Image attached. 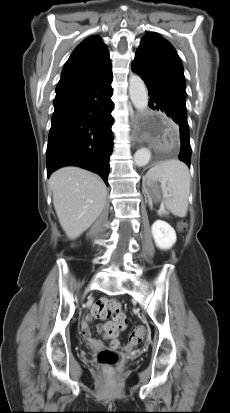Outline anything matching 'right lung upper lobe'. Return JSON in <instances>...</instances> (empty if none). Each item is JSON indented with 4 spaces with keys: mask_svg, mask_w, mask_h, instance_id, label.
Here are the masks:
<instances>
[{
    "mask_svg": "<svg viewBox=\"0 0 230 413\" xmlns=\"http://www.w3.org/2000/svg\"><path fill=\"white\" fill-rule=\"evenodd\" d=\"M111 69L107 46L98 36H90L75 48L67 60L56 93L93 83L109 75Z\"/></svg>",
    "mask_w": 230,
    "mask_h": 413,
    "instance_id": "obj_1",
    "label": "right lung upper lobe"
}]
</instances>
